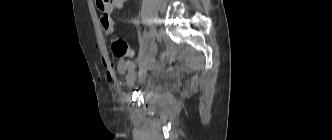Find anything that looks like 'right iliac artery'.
Segmentation results:
<instances>
[{
  "mask_svg": "<svg viewBox=\"0 0 332 140\" xmlns=\"http://www.w3.org/2000/svg\"><path fill=\"white\" fill-rule=\"evenodd\" d=\"M152 28H149L143 32V37H142V50L141 52H144L147 48L148 40L151 34Z\"/></svg>",
  "mask_w": 332,
  "mask_h": 140,
  "instance_id": "1",
  "label": "right iliac artery"
}]
</instances>
